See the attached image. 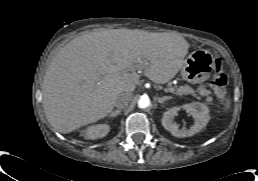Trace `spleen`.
Instances as JSON below:
<instances>
[{
  "mask_svg": "<svg viewBox=\"0 0 258 181\" xmlns=\"http://www.w3.org/2000/svg\"><path fill=\"white\" fill-rule=\"evenodd\" d=\"M229 105H230V101L227 99L226 100V103H225V110H227L229 108Z\"/></svg>",
  "mask_w": 258,
  "mask_h": 181,
  "instance_id": "spleen-1",
  "label": "spleen"
}]
</instances>
